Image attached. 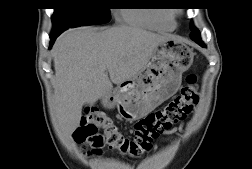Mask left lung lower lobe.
<instances>
[{"mask_svg": "<svg viewBox=\"0 0 252 169\" xmlns=\"http://www.w3.org/2000/svg\"><path fill=\"white\" fill-rule=\"evenodd\" d=\"M192 40H194L197 44H199L202 47H205V44L202 42V40L200 39V34H196L193 37H190Z\"/></svg>", "mask_w": 252, "mask_h": 169, "instance_id": "obj_1", "label": "left lung lower lobe"}]
</instances>
